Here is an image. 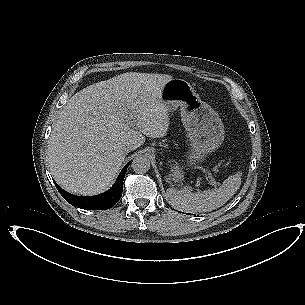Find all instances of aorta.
Returning a JSON list of instances; mask_svg holds the SVG:
<instances>
[{
	"label": "aorta",
	"instance_id": "obj_1",
	"mask_svg": "<svg viewBox=\"0 0 305 305\" xmlns=\"http://www.w3.org/2000/svg\"><path fill=\"white\" fill-rule=\"evenodd\" d=\"M131 167L135 173H146L150 169L151 163L146 155H138L133 159Z\"/></svg>",
	"mask_w": 305,
	"mask_h": 305
}]
</instances>
